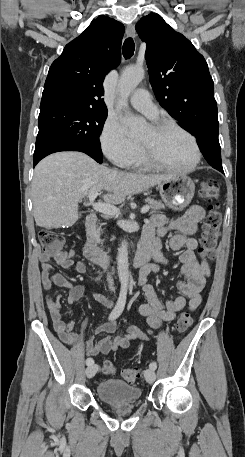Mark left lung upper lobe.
Wrapping results in <instances>:
<instances>
[{
  "label": "left lung upper lobe",
  "mask_w": 245,
  "mask_h": 457,
  "mask_svg": "<svg viewBox=\"0 0 245 457\" xmlns=\"http://www.w3.org/2000/svg\"><path fill=\"white\" fill-rule=\"evenodd\" d=\"M146 42L150 83L160 105L190 133L218 124L214 83L204 57L158 14L136 24Z\"/></svg>",
  "instance_id": "left-lung-upper-lobe-1"
}]
</instances>
